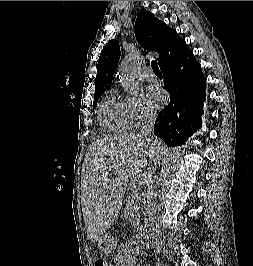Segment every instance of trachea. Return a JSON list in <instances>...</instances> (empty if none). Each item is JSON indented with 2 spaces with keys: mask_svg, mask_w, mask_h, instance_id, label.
I'll return each instance as SVG.
<instances>
[{
  "mask_svg": "<svg viewBox=\"0 0 253 266\" xmlns=\"http://www.w3.org/2000/svg\"><path fill=\"white\" fill-rule=\"evenodd\" d=\"M151 67H152V69H153V71H154L155 74H161V71H160V69L158 67V63H157L156 60H153L151 62Z\"/></svg>",
  "mask_w": 253,
  "mask_h": 266,
  "instance_id": "trachea-1",
  "label": "trachea"
}]
</instances>
